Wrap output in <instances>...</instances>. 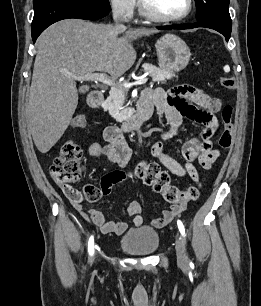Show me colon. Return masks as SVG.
Wrapping results in <instances>:
<instances>
[{
    "instance_id": "5ec220e1",
    "label": "colon",
    "mask_w": 261,
    "mask_h": 306,
    "mask_svg": "<svg viewBox=\"0 0 261 306\" xmlns=\"http://www.w3.org/2000/svg\"><path fill=\"white\" fill-rule=\"evenodd\" d=\"M221 86L226 90H232L235 87L233 77L224 76L220 79ZM223 129L218 139V146L221 149H228L234 138L233 126V109L227 105L222 109L221 113ZM72 125L78 129H85L87 121L85 116L76 115L73 118ZM82 150L80 146L73 140L66 141L59 155L54 159L50 166V174L53 180L78 201L87 200L96 202L104 195L102 188L91 186L84 190L83 193L73 189L70 184L79 181L83 175L84 168L81 163ZM127 177H136L142 180L146 185L161 193L164 200L168 203H179L181 201H195L200 194L199 185L191 186L187 190L182 191L170 184V177L167 172L163 171L157 163L140 161L129 173L123 171H114L107 175L109 182L117 183L123 181Z\"/></svg>"
}]
</instances>
